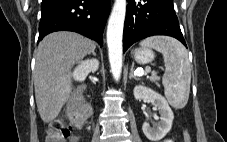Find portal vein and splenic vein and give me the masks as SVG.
Here are the masks:
<instances>
[{"label":"portal vein and splenic vein","mask_w":227,"mask_h":142,"mask_svg":"<svg viewBox=\"0 0 227 142\" xmlns=\"http://www.w3.org/2000/svg\"><path fill=\"white\" fill-rule=\"evenodd\" d=\"M150 71H151L150 68L146 69L145 71L140 70V71L137 72V75H138V76H142V75H144L145 73H149ZM152 74H155V72H152Z\"/></svg>","instance_id":"1"}]
</instances>
